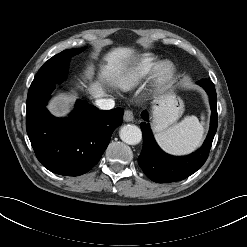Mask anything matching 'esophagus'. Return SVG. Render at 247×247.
Listing matches in <instances>:
<instances>
[{"label":"esophagus","mask_w":247,"mask_h":247,"mask_svg":"<svg viewBox=\"0 0 247 247\" xmlns=\"http://www.w3.org/2000/svg\"><path fill=\"white\" fill-rule=\"evenodd\" d=\"M134 119L133 112L131 110H126L124 113V121L131 122Z\"/></svg>","instance_id":"obj_1"}]
</instances>
